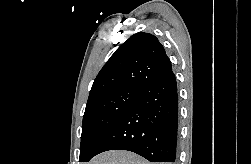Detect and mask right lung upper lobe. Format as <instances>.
Instances as JSON below:
<instances>
[{"label":"right lung upper lobe","instance_id":"right-lung-upper-lobe-1","mask_svg":"<svg viewBox=\"0 0 251 164\" xmlns=\"http://www.w3.org/2000/svg\"><path fill=\"white\" fill-rule=\"evenodd\" d=\"M171 69V62L158 39L149 33H136L115 51L100 70L88 101L123 87L141 88Z\"/></svg>","mask_w":251,"mask_h":164}]
</instances>
